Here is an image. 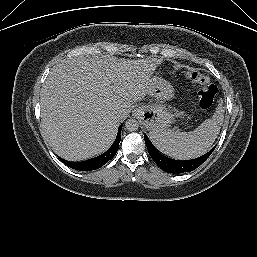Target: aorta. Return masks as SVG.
I'll return each mask as SVG.
<instances>
[{
  "instance_id": "aorta-1",
  "label": "aorta",
  "mask_w": 257,
  "mask_h": 257,
  "mask_svg": "<svg viewBox=\"0 0 257 257\" xmlns=\"http://www.w3.org/2000/svg\"><path fill=\"white\" fill-rule=\"evenodd\" d=\"M125 127L128 131L132 132V131H136L139 128V123L137 120L135 119H128L125 122Z\"/></svg>"
}]
</instances>
